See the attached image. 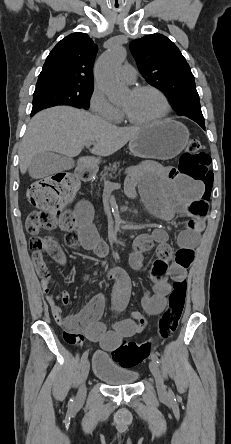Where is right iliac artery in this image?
<instances>
[{
  "instance_id": "obj_1",
  "label": "right iliac artery",
  "mask_w": 231,
  "mask_h": 444,
  "mask_svg": "<svg viewBox=\"0 0 231 444\" xmlns=\"http://www.w3.org/2000/svg\"><path fill=\"white\" fill-rule=\"evenodd\" d=\"M88 357V351H85L81 357V363H83ZM70 401H73L72 399Z\"/></svg>"
}]
</instances>
